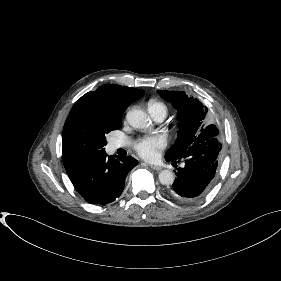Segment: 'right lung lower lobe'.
Returning <instances> with one entry per match:
<instances>
[{
    "mask_svg": "<svg viewBox=\"0 0 281 281\" xmlns=\"http://www.w3.org/2000/svg\"><path fill=\"white\" fill-rule=\"evenodd\" d=\"M138 164L131 156L107 157L106 152L92 156L68 176L79 194L89 203L113 202L123 191L127 174Z\"/></svg>",
    "mask_w": 281,
    "mask_h": 281,
    "instance_id": "98d812e1",
    "label": "right lung lower lobe"
}]
</instances>
